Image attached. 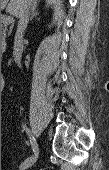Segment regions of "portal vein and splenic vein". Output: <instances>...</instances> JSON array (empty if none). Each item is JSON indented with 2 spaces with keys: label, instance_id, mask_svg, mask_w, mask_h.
Returning a JSON list of instances; mask_svg holds the SVG:
<instances>
[{
  "label": "portal vein and splenic vein",
  "instance_id": "obj_1",
  "mask_svg": "<svg viewBox=\"0 0 109 170\" xmlns=\"http://www.w3.org/2000/svg\"><path fill=\"white\" fill-rule=\"evenodd\" d=\"M10 14H11V13H10ZM12 21H13V18H12L11 15L6 16V17H4V18L2 19V23H3V24H10V23H12Z\"/></svg>",
  "mask_w": 109,
  "mask_h": 170
}]
</instances>
